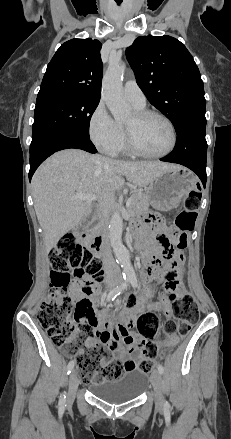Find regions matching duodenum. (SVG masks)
Here are the masks:
<instances>
[{
    "label": "duodenum",
    "mask_w": 231,
    "mask_h": 439,
    "mask_svg": "<svg viewBox=\"0 0 231 439\" xmlns=\"http://www.w3.org/2000/svg\"><path fill=\"white\" fill-rule=\"evenodd\" d=\"M89 218L90 217L85 219L83 228H78V230H77L78 232H80L82 230H85V228H86V226H87V224L89 222ZM90 247H91V249L93 251H95L97 253L100 252L101 247H102V237H101L100 234H96V235L93 236V239L90 242ZM144 256H145V253H144ZM142 272L144 274L148 273V264L147 263H144L143 268H142Z\"/></svg>",
    "instance_id": "1"
}]
</instances>
